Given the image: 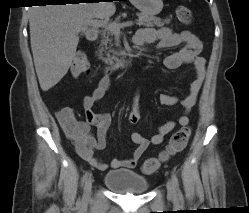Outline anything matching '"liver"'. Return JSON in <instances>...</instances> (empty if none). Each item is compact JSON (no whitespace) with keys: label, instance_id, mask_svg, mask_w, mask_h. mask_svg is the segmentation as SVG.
I'll use <instances>...</instances> for the list:
<instances>
[{"label":"liver","instance_id":"6515ba94","mask_svg":"<svg viewBox=\"0 0 249 213\" xmlns=\"http://www.w3.org/2000/svg\"><path fill=\"white\" fill-rule=\"evenodd\" d=\"M113 2H93L33 6L30 11V42L40 87L48 91L68 72L79 33L89 21L109 18L115 13Z\"/></svg>","mask_w":249,"mask_h":213}]
</instances>
